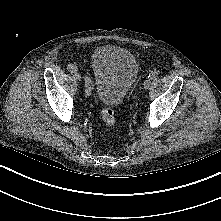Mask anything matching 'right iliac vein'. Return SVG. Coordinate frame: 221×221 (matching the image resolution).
I'll list each match as a JSON object with an SVG mask.
<instances>
[{"label": "right iliac vein", "mask_w": 221, "mask_h": 221, "mask_svg": "<svg viewBox=\"0 0 221 221\" xmlns=\"http://www.w3.org/2000/svg\"><path fill=\"white\" fill-rule=\"evenodd\" d=\"M74 77H75L76 80H78V81H81V79H82V76H81V74H80L79 72H75V73H74Z\"/></svg>", "instance_id": "63e3f726"}]
</instances>
